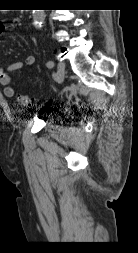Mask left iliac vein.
<instances>
[{"label": "left iliac vein", "mask_w": 138, "mask_h": 253, "mask_svg": "<svg viewBox=\"0 0 138 253\" xmlns=\"http://www.w3.org/2000/svg\"><path fill=\"white\" fill-rule=\"evenodd\" d=\"M65 77V64L62 62H59L57 65V73H56V79L57 82L60 84L63 82Z\"/></svg>", "instance_id": "obj_1"}]
</instances>
